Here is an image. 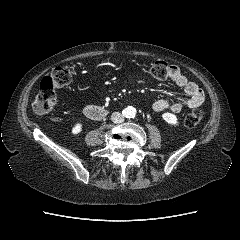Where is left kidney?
<instances>
[{
  "mask_svg": "<svg viewBox=\"0 0 240 240\" xmlns=\"http://www.w3.org/2000/svg\"><path fill=\"white\" fill-rule=\"evenodd\" d=\"M162 118L170 125H178V119L175 114L167 112L162 115Z\"/></svg>",
  "mask_w": 240,
  "mask_h": 240,
  "instance_id": "5707ae66",
  "label": "left kidney"
}]
</instances>
